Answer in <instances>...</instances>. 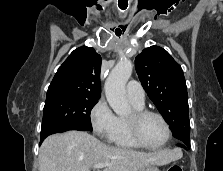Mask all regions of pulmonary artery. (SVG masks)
<instances>
[{
  "label": "pulmonary artery",
  "instance_id": "1",
  "mask_svg": "<svg viewBox=\"0 0 223 171\" xmlns=\"http://www.w3.org/2000/svg\"><path fill=\"white\" fill-rule=\"evenodd\" d=\"M127 96L129 100L138 105H144L145 102V91L142 85L137 81H130L127 84Z\"/></svg>",
  "mask_w": 223,
  "mask_h": 171
}]
</instances>
